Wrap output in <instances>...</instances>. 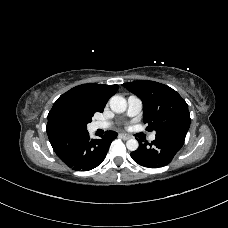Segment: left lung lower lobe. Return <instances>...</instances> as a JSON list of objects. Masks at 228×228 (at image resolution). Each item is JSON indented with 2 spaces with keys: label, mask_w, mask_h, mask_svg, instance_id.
Returning a JSON list of instances; mask_svg holds the SVG:
<instances>
[{
  "label": "left lung lower lobe",
  "mask_w": 228,
  "mask_h": 228,
  "mask_svg": "<svg viewBox=\"0 0 228 228\" xmlns=\"http://www.w3.org/2000/svg\"><path fill=\"white\" fill-rule=\"evenodd\" d=\"M186 133L166 132L156 134L151 143L139 140V148L131 153L132 159L141 166L158 168L168 165L182 148Z\"/></svg>",
  "instance_id": "obj_1"
}]
</instances>
